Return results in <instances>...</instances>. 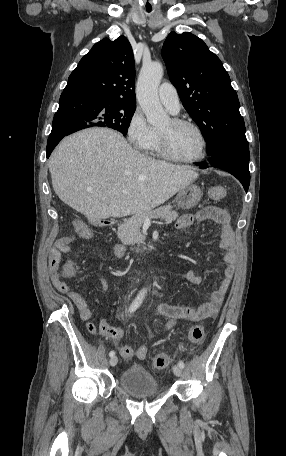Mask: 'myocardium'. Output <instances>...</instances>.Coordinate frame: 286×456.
I'll return each instance as SVG.
<instances>
[{"label":"myocardium","mask_w":286,"mask_h":456,"mask_svg":"<svg viewBox=\"0 0 286 456\" xmlns=\"http://www.w3.org/2000/svg\"><path fill=\"white\" fill-rule=\"evenodd\" d=\"M171 121L177 126H187V127L194 129L198 133V135L201 139L202 150H201L200 155L197 157H194V158L185 159V158L177 157L176 155H174L171 152L167 138L158 131L157 132L158 144H159V152H160L161 156L164 157L165 159H168L171 161H175V162H179V163H186V164H195V163H199V162L203 161L206 158L207 152H208V140H207V137H206L204 131L201 129V127L190 120H186V119H182V118H172Z\"/></svg>","instance_id":"f54148a6"}]
</instances>
